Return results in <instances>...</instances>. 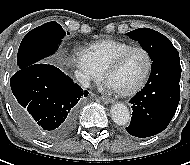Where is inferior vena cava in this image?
I'll return each instance as SVG.
<instances>
[{
  "label": "inferior vena cava",
  "mask_w": 190,
  "mask_h": 165,
  "mask_svg": "<svg viewBox=\"0 0 190 165\" xmlns=\"http://www.w3.org/2000/svg\"><path fill=\"white\" fill-rule=\"evenodd\" d=\"M75 77L84 88H88L90 86L89 78L80 71H75Z\"/></svg>",
  "instance_id": "1"
}]
</instances>
